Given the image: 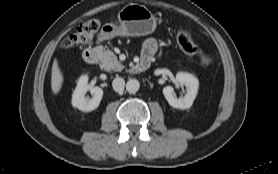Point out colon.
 <instances>
[{
	"label": "colon",
	"mask_w": 278,
	"mask_h": 174,
	"mask_svg": "<svg viewBox=\"0 0 278 174\" xmlns=\"http://www.w3.org/2000/svg\"><path fill=\"white\" fill-rule=\"evenodd\" d=\"M99 28L100 22L97 19H91L80 24L71 35L64 39L62 47L70 49L89 44ZM177 42L184 53L198 57L204 65L208 66L214 63V57L201 49L187 29L182 28L178 31Z\"/></svg>",
	"instance_id": "5ec220e1"
}]
</instances>
